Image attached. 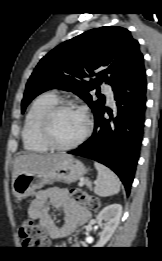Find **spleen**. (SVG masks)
I'll list each match as a JSON object with an SVG mask.
<instances>
[{
    "mask_svg": "<svg viewBox=\"0 0 162 261\" xmlns=\"http://www.w3.org/2000/svg\"><path fill=\"white\" fill-rule=\"evenodd\" d=\"M95 168L98 171L95 182L94 192L100 197H107L117 194L120 191V180L116 174L106 166L95 162Z\"/></svg>",
    "mask_w": 162,
    "mask_h": 261,
    "instance_id": "obj_1",
    "label": "spleen"
}]
</instances>
